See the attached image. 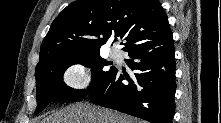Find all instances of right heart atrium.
<instances>
[{
  "label": "right heart atrium",
  "instance_id": "1",
  "mask_svg": "<svg viewBox=\"0 0 221 123\" xmlns=\"http://www.w3.org/2000/svg\"><path fill=\"white\" fill-rule=\"evenodd\" d=\"M91 69L83 63L70 64L63 72L62 81L70 89L83 90L91 82Z\"/></svg>",
  "mask_w": 221,
  "mask_h": 123
}]
</instances>
